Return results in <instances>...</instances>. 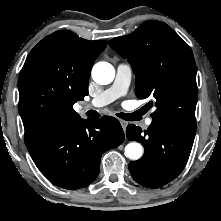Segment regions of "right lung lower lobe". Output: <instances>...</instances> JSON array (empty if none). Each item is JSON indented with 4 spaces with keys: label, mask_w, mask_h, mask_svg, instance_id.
<instances>
[{
    "label": "right lung lower lobe",
    "mask_w": 221,
    "mask_h": 221,
    "mask_svg": "<svg viewBox=\"0 0 221 221\" xmlns=\"http://www.w3.org/2000/svg\"><path fill=\"white\" fill-rule=\"evenodd\" d=\"M124 138L122 127L114 117L78 118L56 123L26 146L49 181L71 190L94 181L102 154L118 147Z\"/></svg>",
    "instance_id": "98d812e1"
}]
</instances>
